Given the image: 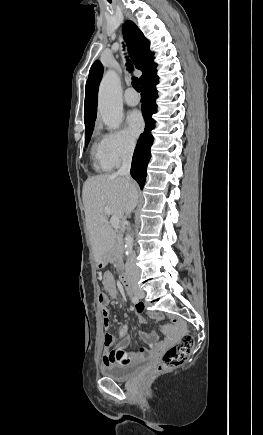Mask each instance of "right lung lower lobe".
Listing matches in <instances>:
<instances>
[{"mask_svg": "<svg viewBox=\"0 0 263 435\" xmlns=\"http://www.w3.org/2000/svg\"><path fill=\"white\" fill-rule=\"evenodd\" d=\"M157 83L158 76L155 73L141 84V108L145 120V129L138 140L131 165V176L139 183L141 189L145 184L147 164L151 157L150 147L153 143V136L150 132L155 127V121L151 116L157 111L155 103L158 97Z\"/></svg>", "mask_w": 263, "mask_h": 435, "instance_id": "98d812e1", "label": "right lung lower lobe"}]
</instances>
